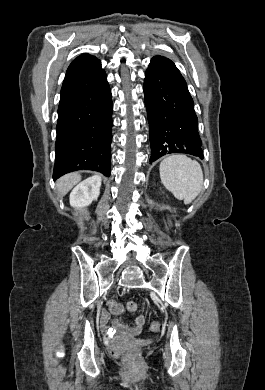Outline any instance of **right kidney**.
Segmentation results:
<instances>
[{
	"instance_id": "obj_1",
	"label": "right kidney",
	"mask_w": 265,
	"mask_h": 390,
	"mask_svg": "<svg viewBox=\"0 0 265 390\" xmlns=\"http://www.w3.org/2000/svg\"><path fill=\"white\" fill-rule=\"evenodd\" d=\"M101 181V176L94 175L79 183L70 194V205L74 208H81L97 200Z\"/></svg>"
}]
</instances>
